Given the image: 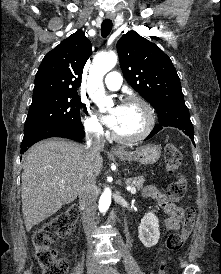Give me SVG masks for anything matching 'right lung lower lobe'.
<instances>
[{"mask_svg": "<svg viewBox=\"0 0 221 274\" xmlns=\"http://www.w3.org/2000/svg\"><path fill=\"white\" fill-rule=\"evenodd\" d=\"M84 136L85 132L83 129L59 124L40 126L24 132L20 153L23 154L34 143L46 138L62 137L78 141L83 139Z\"/></svg>", "mask_w": 221, "mask_h": 274, "instance_id": "98d812e1", "label": "right lung lower lobe"}]
</instances>
